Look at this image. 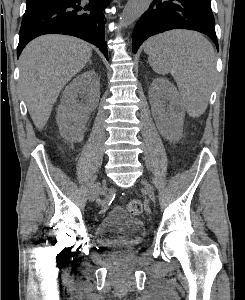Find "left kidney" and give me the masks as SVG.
<instances>
[{
    "label": "left kidney",
    "instance_id": "obj_1",
    "mask_svg": "<svg viewBox=\"0 0 245 300\" xmlns=\"http://www.w3.org/2000/svg\"><path fill=\"white\" fill-rule=\"evenodd\" d=\"M149 101L156 125L169 138L181 134L185 111L176 88L167 79L156 78L149 89Z\"/></svg>",
    "mask_w": 245,
    "mask_h": 300
}]
</instances>
